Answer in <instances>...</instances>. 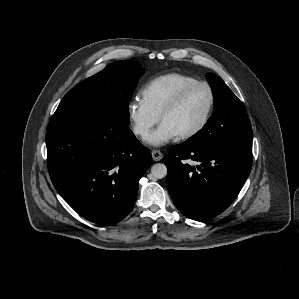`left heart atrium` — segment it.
I'll use <instances>...</instances> for the list:
<instances>
[{
	"mask_svg": "<svg viewBox=\"0 0 299 299\" xmlns=\"http://www.w3.org/2000/svg\"><path fill=\"white\" fill-rule=\"evenodd\" d=\"M178 133L168 124L160 125L146 138V142L153 146H162L178 137Z\"/></svg>",
	"mask_w": 299,
	"mask_h": 299,
	"instance_id": "obj_1",
	"label": "left heart atrium"
}]
</instances>
